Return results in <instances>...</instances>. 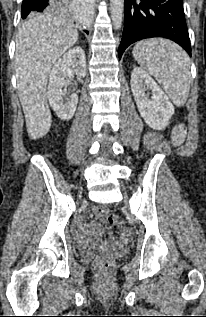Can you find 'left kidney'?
Masks as SVG:
<instances>
[{
    "label": "left kidney",
    "mask_w": 206,
    "mask_h": 317,
    "mask_svg": "<svg viewBox=\"0 0 206 317\" xmlns=\"http://www.w3.org/2000/svg\"><path fill=\"white\" fill-rule=\"evenodd\" d=\"M131 90L144 121L153 129H164L174 114V106L153 78L141 68L131 74ZM151 91V96L146 93Z\"/></svg>",
    "instance_id": "5707ae66"
}]
</instances>
